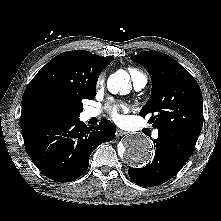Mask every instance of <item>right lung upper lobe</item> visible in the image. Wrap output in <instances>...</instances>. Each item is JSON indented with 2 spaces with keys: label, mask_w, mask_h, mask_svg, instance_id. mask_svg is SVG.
Returning a JSON list of instances; mask_svg holds the SVG:
<instances>
[{
  "label": "right lung upper lobe",
  "mask_w": 221,
  "mask_h": 221,
  "mask_svg": "<svg viewBox=\"0 0 221 221\" xmlns=\"http://www.w3.org/2000/svg\"><path fill=\"white\" fill-rule=\"evenodd\" d=\"M113 60L112 56L100 57L83 50L67 51L54 57L24 92L21 128L49 121L44 109L50 104H69L79 97L95 95L101 71Z\"/></svg>",
  "instance_id": "right-lung-upper-lobe-1"
}]
</instances>
